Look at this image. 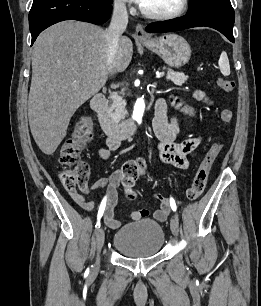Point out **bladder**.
<instances>
[{
	"label": "bladder",
	"instance_id": "1",
	"mask_svg": "<svg viewBox=\"0 0 261 306\" xmlns=\"http://www.w3.org/2000/svg\"><path fill=\"white\" fill-rule=\"evenodd\" d=\"M165 242L163 227L151 219L126 224L112 240L114 249L128 258H147L160 252Z\"/></svg>",
	"mask_w": 261,
	"mask_h": 306
}]
</instances>
